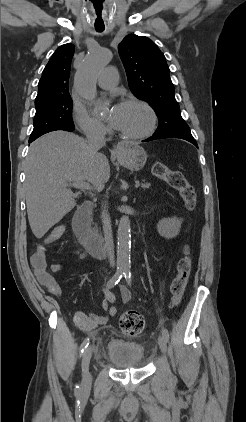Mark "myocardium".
Returning <instances> with one entry per match:
<instances>
[{
    "instance_id": "myocardium-1",
    "label": "myocardium",
    "mask_w": 246,
    "mask_h": 422,
    "mask_svg": "<svg viewBox=\"0 0 246 422\" xmlns=\"http://www.w3.org/2000/svg\"><path fill=\"white\" fill-rule=\"evenodd\" d=\"M123 104H135V105L141 106L147 112L149 116V122H148L147 127L141 132L130 133V132L119 130L118 131L119 135L125 139H130V140H141V139H145L151 136L156 130L157 121H158L157 113L155 109L153 108V106L146 100L138 98V97H129L124 100Z\"/></svg>"
}]
</instances>
